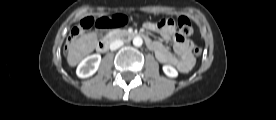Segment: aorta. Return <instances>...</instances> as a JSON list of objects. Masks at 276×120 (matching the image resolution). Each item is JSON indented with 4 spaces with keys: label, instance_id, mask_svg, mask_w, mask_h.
<instances>
[{
    "label": "aorta",
    "instance_id": "1",
    "mask_svg": "<svg viewBox=\"0 0 276 120\" xmlns=\"http://www.w3.org/2000/svg\"><path fill=\"white\" fill-rule=\"evenodd\" d=\"M143 44V40L141 37L139 36H136L134 39H133V45L136 46V47H140L142 46Z\"/></svg>",
    "mask_w": 276,
    "mask_h": 120
}]
</instances>
